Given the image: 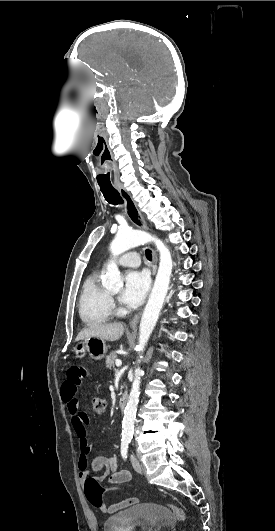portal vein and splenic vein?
Wrapping results in <instances>:
<instances>
[{
    "instance_id": "portal-vein-and-splenic-vein-1",
    "label": "portal vein and splenic vein",
    "mask_w": 275,
    "mask_h": 531,
    "mask_svg": "<svg viewBox=\"0 0 275 531\" xmlns=\"http://www.w3.org/2000/svg\"><path fill=\"white\" fill-rule=\"evenodd\" d=\"M115 365H116V367H121L122 361H120V359H116Z\"/></svg>"
}]
</instances>
